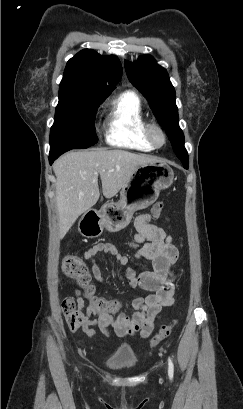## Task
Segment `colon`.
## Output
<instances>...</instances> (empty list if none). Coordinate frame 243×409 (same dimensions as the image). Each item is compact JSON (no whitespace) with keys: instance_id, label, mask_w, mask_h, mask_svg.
Wrapping results in <instances>:
<instances>
[{"instance_id":"5ec220e1","label":"colon","mask_w":243,"mask_h":409,"mask_svg":"<svg viewBox=\"0 0 243 409\" xmlns=\"http://www.w3.org/2000/svg\"><path fill=\"white\" fill-rule=\"evenodd\" d=\"M163 208L164 204L162 202H156L151 209L152 217L154 219L158 218ZM61 269L66 276L77 280L82 287L83 296L90 300V306L93 308L105 311H115L120 308V303L118 301L95 296L89 269L81 259L66 255L62 259ZM61 307L67 327L71 331H76L82 320V312L80 311L77 302L71 297H65L62 299ZM177 324L178 321L174 320L171 323L162 326L157 334L151 339L150 347L153 348L161 341L168 338Z\"/></svg>"}]
</instances>
